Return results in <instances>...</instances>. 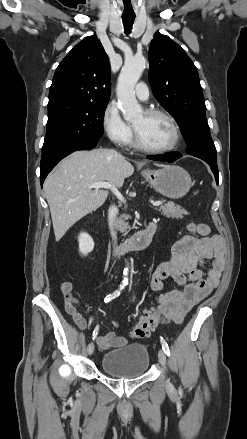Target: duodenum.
Wrapping results in <instances>:
<instances>
[{"label": "duodenum", "instance_id": "obj_1", "mask_svg": "<svg viewBox=\"0 0 247 439\" xmlns=\"http://www.w3.org/2000/svg\"><path fill=\"white\" fill-rule=\"evenodd\" d=\"M156 232L154 223L148 224L144 229L136 233L126 242L115 248L117 254H126L129 252L140 251L145 249L152 242V238Z\"/></svg>", "mask_w": 247, "mask_h": 439}]
</instances>
